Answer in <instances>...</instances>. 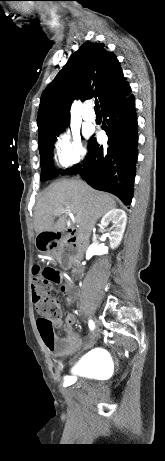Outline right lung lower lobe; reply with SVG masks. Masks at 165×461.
I'll use <instances>...</instances> for the list:
<instances>
[{"mask_svg":"<svg viewBox=\"0 0 165 461\" xmlns=\"http://www.w3.org/2000/svg\"><path fill=\"white\" fill-rule=\"evenodd\" d=\"M102 129L108 136V147L89 142L88 163L66 169L63 174L81 173L87 183L98 190L113 193L125 205L131 203L137 161V119L132 94L102 110Z\"/></svg>","mask_w":165,"mask_h":461,"instance_id":"obj_1","label":"right lung lower lobe"}]
</instances>
